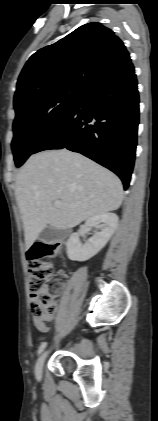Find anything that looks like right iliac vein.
Listing matches in <instances>:
<instances>
[{"label": "right iliac vein", "instance_id": "1", "mask_svg": "<svg viewBox=\"0 0 158 421\" xmlns=\"http://www.w3.org/2000/svg\"><path fill=\"white\" fill-rule=\"evenodd\" d=\"M48 355V351H44L40 357L38 358L36 365H35V376L37 379H40L42 377V372H43V366H44V362L45 359Z\"/></svg>", "mask_w": 158, "mask_h": 421}]
</instances>
